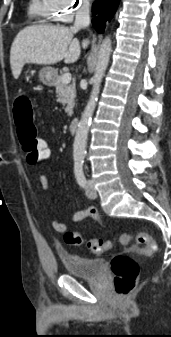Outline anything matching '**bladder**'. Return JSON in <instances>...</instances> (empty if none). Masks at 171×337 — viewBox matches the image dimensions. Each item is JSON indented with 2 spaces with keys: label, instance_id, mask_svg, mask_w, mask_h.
<instances>
[{
  "label": "bladder",
  "instance_id": "1",
  "mask_svg": "<svg viewBox=\"0 0 171 337\" xmlns=\"http://www.w3.org/2000/svg\"><path fill=\"white\" fill-rule=\"evenodd\" d=\"M60 259L67 274L80 278H97L102 275L105 268L103 258H88L63 253Z\"/></svg>",
  "mask_w": 171,
  "mask_h": 337
}]
</instances>
